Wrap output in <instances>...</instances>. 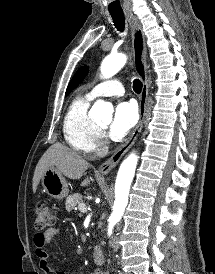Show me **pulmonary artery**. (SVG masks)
<instances>
[{
  "label": "pulmonary artery",
  "mask_w": 215,
  "mask_h": 274,
  "mask_svg": "<svg viewBox=\"0 0 215 274\" xmlns=\"http://www.w3.org/2000/svg\"><path fill=\"white\" fill-rule=\"evenodd\" d=\"M124 94V87L117 79H110L94 86L87 96L94 99L101 96H121Z\"/></svg>",
  "instance_id": "1"
}]
</instances>
